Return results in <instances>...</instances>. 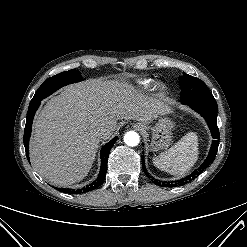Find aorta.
Listing matches in <instances>:
<instances>
[{
	"label": "aorta",
	"mask_w": 247,
	"mask_h": 247,
	"mask_svg": "<svg viewBox=\"0 0 247 247\" xmlns=\"http://www.w3.org/2000/svg\"><path fill=\"white\" fill-rule=\"evenodd\" d=\"M124 142L128 146H137L140 142V136L134 131H129L124 135Z\"/></svg>",
	"instance_id": "1"
}]
</instances>
